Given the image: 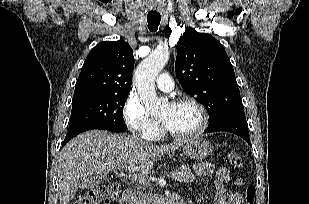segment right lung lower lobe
<instances>
[{"label": "right lung lower lobe", "mask_w": 309, "mask_h": 204, "mask_svg": "<svg viewBox=\"0 0 309 204\" xmlns=\"http://www.w3.org/2000/svg\"><path fill=\"white\" fill-rule=\"evenodd\" d=\"M92 129H101V128H97V127H83V128H80V129H77V130H74V131H71L69 132L65 139H64V142H63V146L70 140L72 139L73 137H75L76 135L84 132V131H88V130H92ZM110 131V130H108ZM112 132H115V131H112Z\"/></svg>", "instance_id": "right-lung-lower-lobe-1"}]
</instances>
